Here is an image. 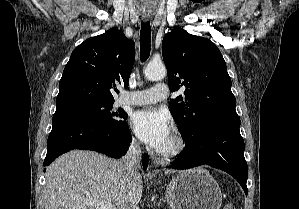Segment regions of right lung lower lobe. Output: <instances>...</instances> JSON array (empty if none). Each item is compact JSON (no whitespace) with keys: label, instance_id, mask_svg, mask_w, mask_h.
<instances>
[{"label":"right lung lower lobe","instance_id":"right-lung-lower-lobe-1","mask_svg":"<svg viewBox=\"0 0 299 209\" xmlns=\"http://www.w3.org/2000/svg\"><path fill=\"white\" fill-rule=\"evenodd\" d=\"M52 124L44 166L50 165L58 156L73 149L93 150L120 158L130 146L131 133L126 122L118 127H109L71 113H57L53 116ZM142 165L146 168L145 154Z\"/></svg>","mask_w":299,"mask_h":209}]
</instances>
